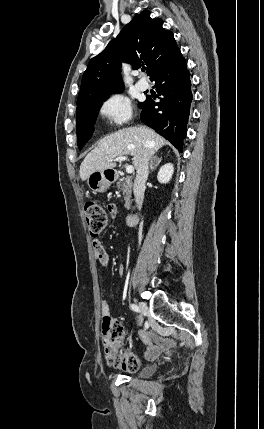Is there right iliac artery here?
Instances as JSON below:
<instances>
[{"label":"right iliac artery","instance_id":"1","mask_svg":"<svg viewBox=\"0 0 264 429\" xmlns=\"http://www.w3.org/2000/svg\"><path fill=\"white\" fill-rule=\"evenodd\" d=\"M130 307H131V309L133 310V311H135V312H139L140 310H139V307L136 305V304H131L130 305Z\"/></svg>","mask_w":264,"mask_h":429}]
</instances>
